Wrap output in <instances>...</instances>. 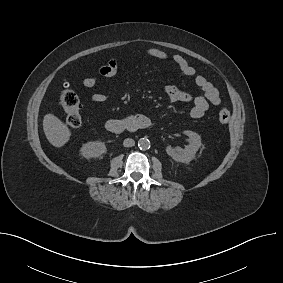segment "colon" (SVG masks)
I'll return each instance as SVG.
<instances>
[{
  "instance_id": "obj_1",
  "label": "colon",
  "mask_w": 283,
  "mask_h": 283,
  "mask_svg": "<svg viewBox=\"0 0 283 283\" xmlns=\"http://www.w3.org/2000/svg\"><path fill=\"white\" fill-rule=\"evenodd\" d=\"M59 103L66 114V126L70 129L78 128L82 123L80 101L76 93L69 89L67 84L64 85V88L60 92ZM218 119L221 124H228L231 119L230 111L225 107L220 109Z\"/></svg>"
}]
</instances>
